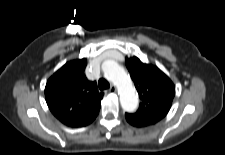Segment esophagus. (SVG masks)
Masks as SVG:
<instances>
[{
  "label": "esophagus",
  "mask_w": 225,
  "mask_h": 155,
  "mask_svg": "<svg viewBox=\"0 0 225 155\" xmlns=\"http://www.w3.org/2000/svg\"><path fill=\"white\" fill-rule=\"evenodd\" d=\"M116 91H117V89L113 85L108 89V92H110V93H115Z\"/></svg>",
  "instance_id": "esophagus-1"
}]
</instances>
